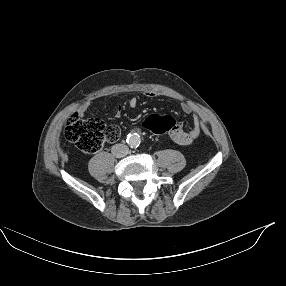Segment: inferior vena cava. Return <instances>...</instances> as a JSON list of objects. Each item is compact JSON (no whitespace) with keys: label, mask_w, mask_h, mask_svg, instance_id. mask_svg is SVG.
I'll use <instances>...</instances> for the list:
<instances>
[{"label":"inferior vena cava","mask_w":286,"mask_h":286,"mask_svg":"<svg viewBox=\"0 0 286 286\" xmlns=\"http://www.w3.org/2000/svg\"><path fill=\"white\" fill-rule=\"evenodd\" d=\"M112 154L117 158H123L129 153V148L124 144H116L112 146Z\"/></svg>","instance_id":"inferior-vena-cava-1"}]
</instances>
